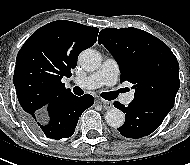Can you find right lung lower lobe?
Here are the masks:
<instances>
[{
    "label": "right lung lower lobe",
    "mask_w": 190,
    "mask_h": 165,
    "mask_svg": "<svg viewBox=\"0 0 190 165\" xmlns=\"http://www.w3.org/2000/svg\"><path fill=\"white\" fill-rule=\"evenodd\" d=\"M94 103L89 95H61L34 115L24 114L28 126L39 136L54 140L73 135L81 114Z\"/></svg>",
    "instance_id": "1"
}]
</instances>
